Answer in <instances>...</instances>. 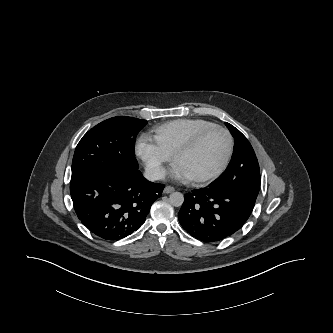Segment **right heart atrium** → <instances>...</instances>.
Segmentation results:
<instances>
[{"label": "right heart atrium", "instance_id": "right-heart-atrium-1", "mask_svg": "<svg viewBox=\"0 0 333 333\" xmlns=\"http://www.w3.org/2000/svg\"><path fill=\"white\" fill-rule=\"evenodd\" d=\"M136 154L153 178L160 179L164 176V166L171 159V155L156 143L146 137H141L136 144Z\"/></svg>", "mask_w": 333, "mask_h": 333}]
</instances>
